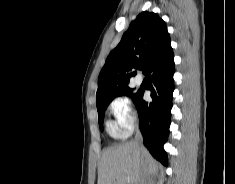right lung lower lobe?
Masks as SVG:
<instances>
[{
	"instance_id": "98d812e1",
	"label": "right lung lower lobe",
	"mask_w": 235,
	"mask_h": 184,
	"mask_svg": "<svg viewBox=\"0 0 235 184\" xmlns=\"http://www.w3.org/2000/svg\"><path fill=\"white\" fill-rule=\"evenodd\" d=\"M174 72V55L172 53L145 74L151 82L149 90L152 102L148 103L142 99L143 91H139L134 100L144 145L154 158L166 166L168 165L167 154L163 145L168 139L171 122Z\"/></svg>"
}]
</instances>
